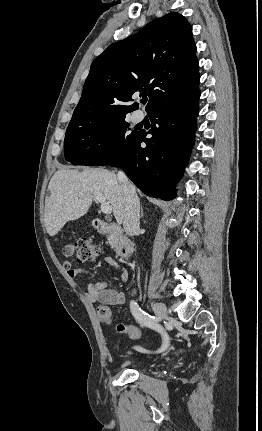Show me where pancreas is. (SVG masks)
Returning a JSON list of instances; mask_svg holds the SVG:
<instances>
[{"instance_id":"obj_1","label":"pancreas","mask_w":262,"mask_h":431,"mask_svg":"<svg viewBox=\"0 0 262 431\" xmlns=\"http://www.w3.org/2000/svg\"><path fill=\"white\" fill-rule=\"evenodd\" d=\"M109 243L111 244L112 247H115V244L110 240Z\"/></svg>"}]
</instances>
